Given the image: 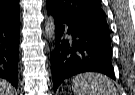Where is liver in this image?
I'll return each instance as SVG.
<instances>
[{"mask_svg":"<svg viewBox=\"0 0 135 95\" xmlns=\"http://www.w3.org/2000/svg\"><path fill=\"white\" fill-rule=\"evenodd\" d=\"M0 95H14V88L13 86L0 78Z\"/></svg>","mask_w":135,"mask_h":95,"instance_id":"6515ba94","label":"liver"}]
</instances>
